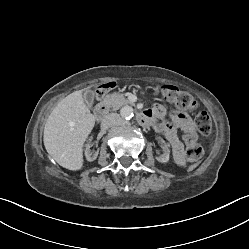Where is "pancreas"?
I'll return each mask as SVG.
<instances>
[{
  "mask_svg": "<svg viewBox=\"0 0 249 249\" xmlns=\"http://www.w3.org/2000/svg\"><path fill=\"white\" fill-rule=\"evenodd\" d=\"M105 103L112 108L113 111H116L122 106L129 104V101L124 97V95L113 93L106 96Z\"/></svg>",
  "mask_w": 249,
  "mask_h": 249,
  "instance_id": "pancreas-1",
  "label": "pancreas"
}]
</instances>
